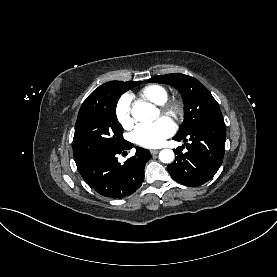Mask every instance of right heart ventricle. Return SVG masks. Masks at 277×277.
<instances>
[{
  "instance_id": "1",
  "label": "right heart ventricle",
  "mask_w": 277,
  "mask_h": 277,
  "mask_svg": "<svg viewBox=\"0 0 277 277\" xmlns=\"http://www.w3.org/2000/svg\"><path fill=\"white\" fill-rule=\"evenodd\" d=\"M138 94L143 100L158 106L168 99V91L158 84L145 86Z\"/></svg>"
}]
</instances>
